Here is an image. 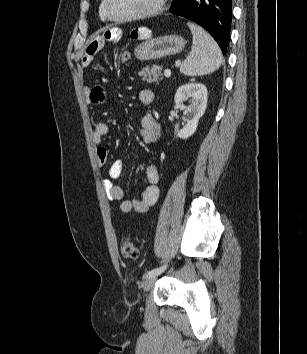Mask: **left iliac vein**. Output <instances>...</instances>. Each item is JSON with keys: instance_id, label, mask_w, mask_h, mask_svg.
Segmentation results:
<instances>
[{"instance_id": "obj_1", "label": "left iliac vein", "mask_w": 307, "mask_h": 354, "mask_svg": "<svg viewBox=\"0 0 307 354\" xmlns=\"http://www.w3.org/2000/svg\"><path fill=\"white\" fill-rule=\"evenodd\" d=\"M156 279H157V275L148 277L144 281L143 289H144L145 292L149 291L154 286V283H155Z\"/></svg>"}]
</instances>
